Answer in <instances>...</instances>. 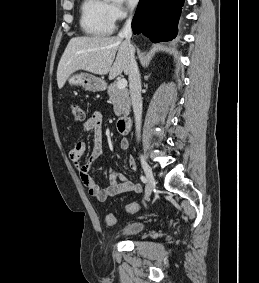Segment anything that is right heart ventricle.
Returning a JSON list of instances; mask_svg holds the SVG:
<instances>
[{
    "instance_id": "right-heart-ventricle-1",
    "label": "right heart ventricle",
    "mask_w": 259,
    "mask_h": 283,
    "mask_svg": "<svg viewBox=\"0 0 259 283\" xmlns=\"http://www.w3.org/2000/svg\"><path fill=\"white\" fill-rule=\"evenodd\" d=\"M81 26L85 33L94 37H106L115 27L108 0H83Z\"/></svg>"
}]
</instances>
